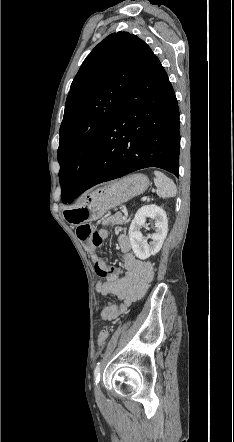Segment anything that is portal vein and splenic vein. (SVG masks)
<instances>
[{"mask_svg": "<svg viewBox=\"0 0 234 442\" xmlns=\"http://www.w3.org/2000/svg\"><path fill=\"white\" fill-rule=\"evenodd\" d=\"M147 199V196L142 197V201H145Z\"/></svg>", "mask_w": 234, "mask_h": 442, "instance_id": "18ae733b", "label": "portal vein and splenic vein"}]
</instances>
